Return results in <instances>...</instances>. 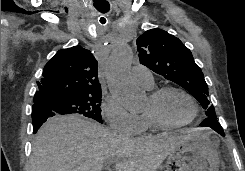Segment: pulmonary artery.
Listing matches in <instances>:
<instances>
[{
  "label": "pulmonary artery",
  "mask_w": 245,
  "mask_h": 171,
  "mask_svg": "<svg viewBox=\"0 0 245 171\" xmlns=\"http://www.w3.org/2000/svg\"><path fill=\"white\" fill-rule=\"evenodd\" d=\"M131 76L133 80L147 89L153 88L154 77L150 69L143 65H135L132 67Z\"/></svg>",
  "instance_id": "1"
}]
</instances>
